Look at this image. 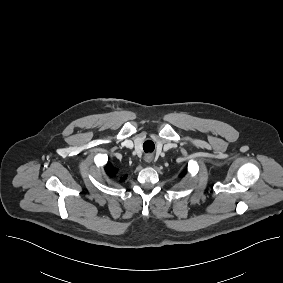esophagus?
<instances>
[{
	"label": "esophagus",
	"instance_id": "obj_1",
	"mask_svg": "<svg viewBox=\"0 0 283 283\" xmlns=\"http://www.w3.org/2000/svg\"><path fill=\"white\" fill-rule=\"evenodd\" d=\"M153 160V155L152 154H148L145 156V161L150 163Z\"/></svg>",
	"mask_w": 283,
	"mask_h": 283
}]
</instances>
